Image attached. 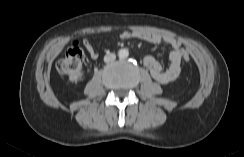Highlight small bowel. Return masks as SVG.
Here are the masks:
<instances>
[{
  "label": "small bowel",
  "instance_id": "c3829d8e",
  "mask_svg": "<svg viewBox=\"0 0 244 157\" xmlns=\"http://www.w3.org/2000/svg\"><path fill=\"white\" fill-rule=\"evenodd\" d=\"M119 37L121 39L136 38L144 40L157 45H167L171 48L169 53L170 64L168 67H164L158 60L152 56H146L144 58V64L149 69L151 76L160 84H169L174 82L181 72V60L184 53V49L181 43L176 39L164 36L153 32H122ZM83 44L87 49L90 57L96 59L98 52L92 46L88 38L83 39Z\"/></svg>",
  "mask_w": 244,
  "mask_h": 157
}]
</instances>
